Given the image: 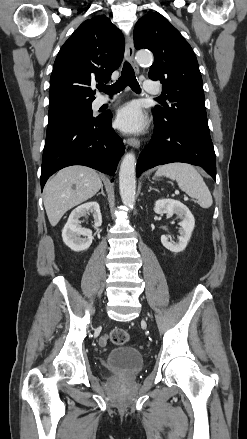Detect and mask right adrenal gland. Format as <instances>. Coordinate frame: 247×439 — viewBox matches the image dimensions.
<instances>
[{
    "label": "right adrenal gland",
    "mask_w": 247,
    "mask_h": 439,
    "mask_svg": "<svg viewBox=\"0 0 247 439\" xmlns=\"http://www.w3.org/2000/svg\"><path fill=\"white\" fill-rule=\"evenodd\" d=\"M100 194H102L105 197V193H104V190H103V185L101 186V192L98 193L97 196H99Z\"/></svg>",
    "instance_id": "right-adrenal-gland-1"
}]
</instances>
